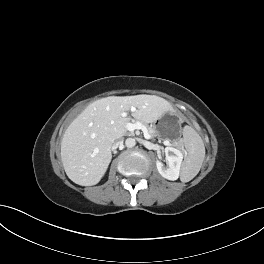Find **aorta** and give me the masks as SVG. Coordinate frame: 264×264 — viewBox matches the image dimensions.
<instances>
[{"mask_svg":"<svg viewBox=\"0 0 264 264\" xmlns=\"http://www.w3.org/2000/svg\"><path fill=\"white\" fill-rule=\"evenodd\" d=\"M125 145L127 148H133L136 145V140L134 138H127Z\"/></svg>","mask_w":264,"mask_h":264,"instance_id":"obj_1","label":"aorta"}]
</instances>
